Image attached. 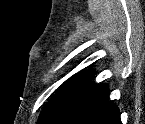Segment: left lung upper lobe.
<instances>
[{"label": "left lung upper lobe", "mask_w": 145, "mask_h": 124, "mask_svg": "<svg viewBox=\"0 0 145 124\" xmlns=\"http://www.w3.org/2000/svg\"><path fill=\"white\" fill-rule=\"evenodd\" d=\"M93 78V74L76 75L70 79L47 103L39 117L38 124H45L53 118L69 101Z\"/></svg>", "instance_id": "left-lung-upper-lobe-1"}]
</instances>
